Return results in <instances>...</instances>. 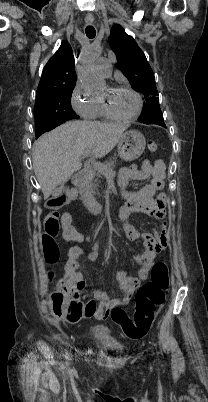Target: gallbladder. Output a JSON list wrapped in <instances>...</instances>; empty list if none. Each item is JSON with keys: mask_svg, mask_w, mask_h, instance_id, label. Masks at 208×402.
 Masks as SVG:
<instances>
[{"mask_svg": "<svg viewBox=\"0 0 208 402\" xmlns=\"http://www.w3.org/2000/svg\"><path fill=\"white\" fill-rule=\"evenodd\" d=\"M59 193H63V188H62V186H60V188H57V190L52 193V196H53L54 198H57V197L59 196Z\"/></svg>", "mask_w": 208, "mask_h": 402, "instance_id": "bac80fb5", "label": "gallbladder"}]
</instances>
